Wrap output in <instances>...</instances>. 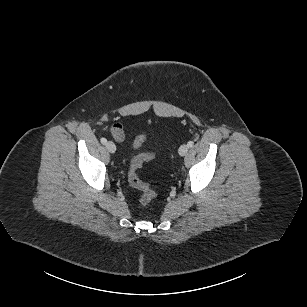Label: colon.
<instances>
[{
	"label": "colon",
	"instance_id": "colon-1",
	"mask_svg": "<svg viewBox=\"0 0 307 307\" xmlns=\"http://www.w3.org/2000/svg\"><path fill=\"white\" fill-rule=\"evenodd\" d=\"M152 155H141L135 158L129 167L128 180L132 187L138 189L141 192L139 197V203L141 205H147L156 196L155 190L148 184L142 181L138 176V170L142 163L148 159H151Z\"/></svg>",
	"mask_w": 307,
	"mask_h": 307
}]
</instances>
